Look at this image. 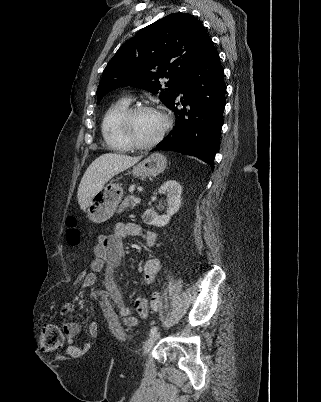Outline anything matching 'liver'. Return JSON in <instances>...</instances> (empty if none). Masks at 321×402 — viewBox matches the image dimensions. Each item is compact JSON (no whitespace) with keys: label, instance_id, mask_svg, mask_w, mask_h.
I'll return each mask as SVG.
<instances>
[{"label":"liver","instance_id":"obj_1","mask_svg":"<svg viewBox=\"0 0 321 402\" xmlns=\"http://www.w3.org/2000/svg\"><path fill=\"white\" fill-rule=\"evenodd\" d=\"M141 157L106 153L96 158L85 171L79 184L77 198L85 210L91 198L116 174L136 164Z\"/></svg>","mask_w":321,"mask_h":402}]
</instances>
